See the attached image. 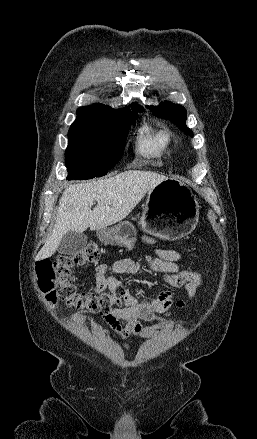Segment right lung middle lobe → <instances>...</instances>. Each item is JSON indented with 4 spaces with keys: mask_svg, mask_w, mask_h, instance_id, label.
I'll list each match as a JSON object with an SVG mask.
<instances>
[{
    "mask_svg": "<svg viewBox=\"0 0 257 439\" xmlns=\"http://www.w3.org/2000/svg\"><path fill=\"white\" fill-rule=\"evenodd\" d=\"M137 116L134 112L116 121L76 118L68 132L67 179L85 180L106 175L121 158L128 130L136 124Z\"/></svg>",
    "mask_w": 257,
    "mask_h": 439,
    "instance_id": "dd1d6c3e",
    "label": "right lung middle lobe"
}]
</instances>
